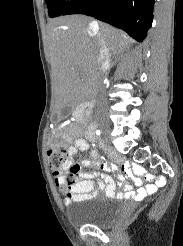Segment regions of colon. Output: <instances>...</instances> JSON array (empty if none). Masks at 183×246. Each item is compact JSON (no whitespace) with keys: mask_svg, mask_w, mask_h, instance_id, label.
<instances>
[{"mask_svg":"<svg viewBox=\"0 0 183 246\" xmlns=\"http://www.w3.org/2000/svg\"><path fill=\"white\" fill-rule=\"evenodd\" d=\"M47 157L49 165L55 170H61L67 160V151L61 139L49 136L47 140ZM76 171H70L75 173ZM72 179V178H71Z\"/></svg>","mask_w":183,"mask_h":246,"instance_id":"5ec220e1","label":"colon"}]
</instances>
